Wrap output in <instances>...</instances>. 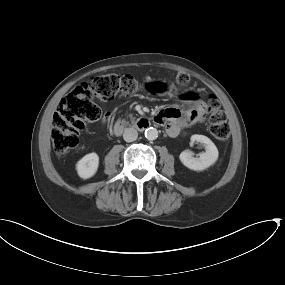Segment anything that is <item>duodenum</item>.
I'll list each match as a JSON object with an SVG mask.
<instances>
[{
  "label": "duodenum",
  "instance_id": "410a0bca",
  "mask_svg": "<svg viewBox=\"0 0 285 285\" xmlns=\"http://www.w3.org/2000/svg\"><path fill=\"white\" fill-rule=\"evenodd\" d=\"M128 123L125 121H118L112 126V132L113 134L119 136L123 133L125 128L127 127ZM133 128L138 130V131H144L150 126V122L147 118H141L136 120L132 124Z\"/></svg>",
  "mask_w": 285,
  "mask_h": 285
}]
</instances>
